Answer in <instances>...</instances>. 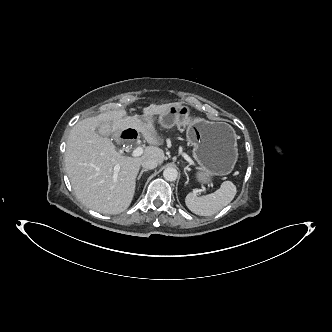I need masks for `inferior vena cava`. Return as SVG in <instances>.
Listing matches in <instances>:
<instances>
[{"instance_id": "obj_1", "label": "inferior vena cava", "mask_w": 332, "mask_h": 332, "mask_svg": "<svg viewBox=\"0 0 332 332\" xmlns=\"http://www.w3.org/2000/svg\"><path fill=\"white\" fill-rule=\"evenodd\" d=\"M141 165L145 169H154L157 167L158 163L154 159H145L142 161Z\"/></svg>"}]
</instances>
